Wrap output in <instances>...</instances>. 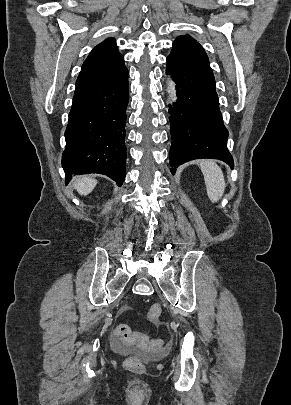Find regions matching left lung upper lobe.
I'll list each match as a JSON object with an SVG mask.
<instances>
[{
  "label": "left lung upper lobe",
  "instance_id": "left-lung-upper-lobe-1",
  "mask_svg": "<svg viewBox=\"0 0 291 405\" xmlns=\"http://www.w3.org/2000/svg\"><path fill=\"white\" fill-rule=\"evenodd\" d=\"M180 37H185V38H189V39H192V38H190V37H188V36H180ZM194 40V39H193Z\"/></svg>",
  "mask_w": 291,
  "mask_h": 405
}]
</instances>
